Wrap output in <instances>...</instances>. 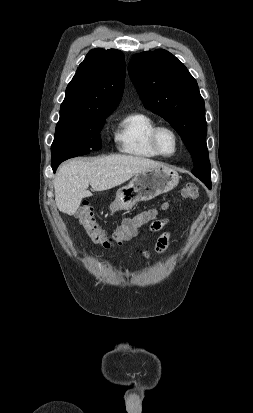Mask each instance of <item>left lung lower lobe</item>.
<instances>
[{
  "label": "left lung lower lobe",
  "mask_w": 253,
  "mask_h": 413,
  "mask_svg": "<svg viewBox=\"0 0 253 413\" xmlns=\"http://www.w3.org/2000/svg\"><path fill=\"white\" fill-rule=\"evenodd\" d=\"M209 189H211V181L209 180H204L202 181Z\"/></svg>",
  "instance_id": "obj_1"
}]
</instances>
